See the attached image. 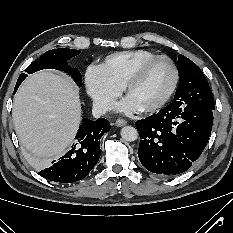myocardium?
Masks as SVG:
<instances>
[{
    "label": "myocardium",
    "mask_w": 233,
    "mask_h": 233,
    "mask_svg": "<svg viewBox=\"0 0 233 233\" xmlns=\"http://www.w3.org/2000/svg\"><path fill=\"white\" fill-rule=\"evenodd\" d=\"M158 60H166L170 63L172 70H173V79L171 82L170 87L168 88V90L166 91V93L163 95L162 98H160L157 102H155L154 104L147 106L145 108H141V110L143 112H153L156 111L158 109H160L161 107H163L172 97V95L174 94L177 85H178V81H179V70L178 67L176 65V63L174 62V60L172 58H170L167 55H155L149 59L144 60L142 63H140L132 72L131 74L127 77L123 87H124V91L126 94H128L130 88L132 87V85L137 82L141 76L143 75V73L145 72V70L155 61Z\"/></svg>",
    "instance_id": "f54148a6"
}]
</instances>
